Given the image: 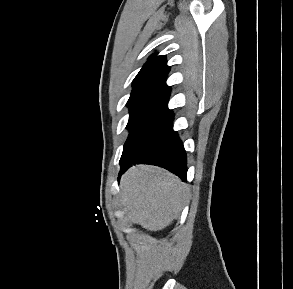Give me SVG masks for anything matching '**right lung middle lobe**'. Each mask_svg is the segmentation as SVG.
<instances>
[{
    "mask_svg": "<svg viewBox=\"0 0 293 289\" xmlns=\"http://www.w3.org/2000/svg\"><path fill=\"white\" fill-rule=\"evenodd\" d=\"M130 117L127 128L130 130L124 149L137 143L151 129L173 114L167 103L156 100L128 101Z\"/></svg>",
    "mask_w": 293,
    "mask_h": 289,
    "instance_id": "right-lung-middle-lobe-1",
    "label": "right lung middle lobe"
}]
</instances>
